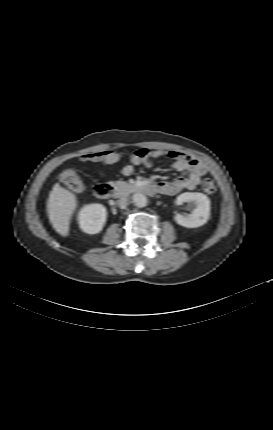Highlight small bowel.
<instances>
[{
  "label": "small bowel",
  "instance_id": "small-bowel-1",
  "mask_svg": "<svg viewBox=\"0 0 273 430\" xmlns=\"http://www.w3.org/2000/svg\"><path fill=\"white\" fill-rule=\"evenodd\" d=\"M167 156L174 160L173 167L178 171H188L187 177H178L171 182L159 181L153 184L156 192L165 195H175L182 190L195 189L201 177L207 173L206 166L191 155H186L176 150L167 149H146L141 148L130 156V165L122 169V174L129 176L134 173L135 167L139 165L151 166L153 160ZM82 161H91L102 165H112L122 159V155L114 151H104L99 153H90L81 156Z\"/></svg>",
  "mask_w": 273,
  "mask_h": 430
}]
</instances>
